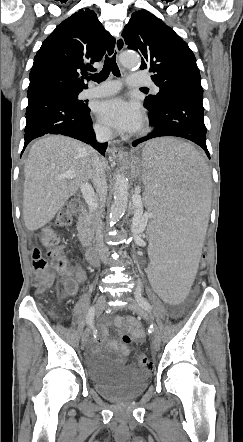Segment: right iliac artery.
<instances>
[{"label":"right iliac artery","instance_id":"1","mask_svg":"<svg viewBox=\"0 0 243 442\" xmlns=\"http://www.w3.org/2000/svg\"><path fill=\"white\" fill-rule=\"evenodd\" d=\"M94 312H95L94 307H91L89 309V312H88V315H87V323H91L93 321V319H94Z\"/></svg>","mask_w":243,"mask_h":442}]
</instances>
